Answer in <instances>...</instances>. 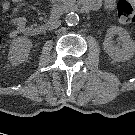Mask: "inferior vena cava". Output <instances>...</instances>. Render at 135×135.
<instances>
[{
    "instance_id": "obj_1",
    "label": "inferior vena cava",
    "mask_w": 135,
    "mask_h": 135,
    "mask_svg": "<svg viewBox=\"0 0 135 135\" xmlns=\"http://www.w3.org/2000/svg\"><path fill=\"white\" fill-rule=\"evenodd\" d=\"M61 25V21L58 19L53 20L52 22H50L47 27L49 30H53L58 28Z\"/></svg>"
}]
</instances>
